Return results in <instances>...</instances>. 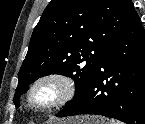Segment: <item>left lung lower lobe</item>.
Masks as SVG:
<instances>
[{"mask_svg":"<svg viewBox=\"0 0 145 124\" xmlns=\"http://www.w3.org/2000/svg\"><path fill=\"white\" fill-rule=\"evenodd\" d=\"M79 114L145 124V32L135 10L85 91L56 116Z\"/></svg>","mask_w":145,"mask_h":124,"instance_id":"0a47b994","label":"left lung lower lobe"}]
</instances>
